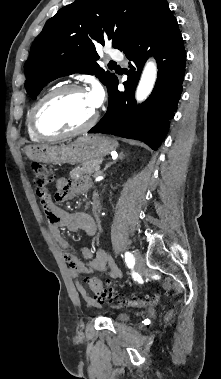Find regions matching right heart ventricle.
Masks as SVG:
<instances>
[{
  "label": "right heart ventricle",
  "mask_w": 221,
  "mask_h": 379,
  "mask_svg": "<svg viewBox=\"0 0 221 379\" xmlns=\"http://www.w3.org/2000/svg\"><path fill=\"white\" fill-rule=\"evenodd\" d=\"M36 103L31 107V109L29 110L28 115H27V132H28V135L31 139L40 140L41 138L35 134V132L32 129V126H31V113H32V110H33L34 106L36 105Z\"/></svg>",
  "instance_id": "e07e8e85"
}]
</instances>
